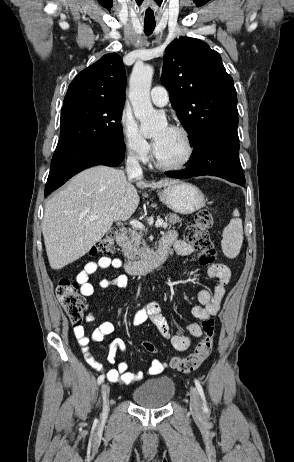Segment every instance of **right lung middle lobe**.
<instances>
[{"label": "right lung middle lobe", "instance_id": "right-lung-middle-lobe-1", "mask_svg": "<svg viewBox=\"0 0 294 462\" xmlns=\"http://www.w3.org/2000/svg\"><path fill=\"white\" fill-rule=\"evenodd\" d=\"M124 100H76L61 110L60 139L56 149L77 142L123 141L120 124Z\"/></svg>", "mask_w": 294, "mask_h": 462}]
</instances>
